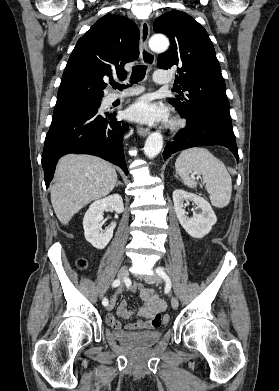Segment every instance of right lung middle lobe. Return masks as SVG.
Masks as SVG:
<instances>
[{
	"label": "right lung middle lobe",
	"mask_w": 279,
	"mask_h": 391,
	"mask_svg": "<svg viewBox=\"0 0 279 391\" xmlns=\"http://www.w3.org/2000/svg\"><path fill=\"white\" fill-rule=\"evenodd\" d=\"M99 106H100V101H96V102L81 103V104H77V105H74V106H71L68 108H64V109H72V108H80V107H99ZM64 109H61V110H64ZM56 111H59V110H54V112H56Z\"/></svg>",
	"instance_id": "dd1d6c3e"
}]
</instances>
